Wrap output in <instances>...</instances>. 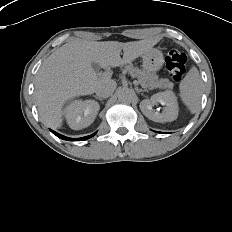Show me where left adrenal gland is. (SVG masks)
<instances>
[{"label":"left adrenal gland","instance_id":"a2214340","mask_svg":"<svg viewBox=\"0 0 232 232\" xmlns=\"http://www.w3.org/2000/svg\"><path fill=\"white\" fill-rule=\"evenodd\" d=\"M146 91H148L147 89H144V90H140V92H146Z\"/></svg>","mask_w":232,"mask_h":232}]
</instances>
